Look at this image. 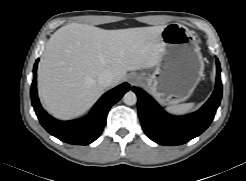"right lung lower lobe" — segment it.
Returning a JSON list of instances; mask_svg holds the SVG:
<instances>
[{"instance_id": "98d812e1", "label": "right lung lower lobe", "mask_w": 246, "mask_h": 181, "mask_svg": "<svg viewBox=\"0 0 246 181\" xmlns=\"http://www.w3.org/2000/svg\"><path fill=\"white\" fill-rule=\"evenodd\" d=\"M38 60L33 68L31 100L41 125L53 136L63 142L74 145H87L95 141L103 131L109 109L130 90L128 83H123L105 93L90 114L79 120L59 121L48 115L40 105L36 90V69Z\"/></svg>"}]
</instances>
